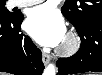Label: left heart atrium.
I'll use <instances>...</instances> for the list:
<instances>
[{"mask_svg":"<svg viewBox=\"0 0 102 75\" xmlns=\"http://www.w3.org/2000/svg\"><path fill=\"white\" fill-rule=\"evenodd\" d=\"M25 27L28 34L42 46H57L65 38L66 27L63 18L49 4L32 8Z\"/></svg>","mask_w":102,"mask_h":75,"instance_id":"39dd6f15","label":"left heart atrium"}]
</instances>
